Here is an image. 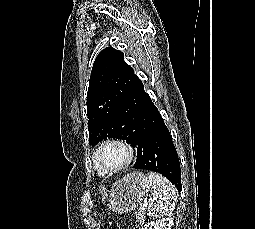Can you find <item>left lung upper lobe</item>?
<instances>
[{
    "mask_svg": "<svg viewBox=\"0 0 255 229\" xmlns=\"http://www.w3.org/2000/svg\"><path fill=\"white\" fill-rule=\"evenodd\" d=\"M133 69L124 62L123 52L112 47L103 49L96 57L87 92L89 142L92 145L110 138L133 139L123 131L118 118L120 107L135 79Z\"/></svg>",
    "mask_w": 255,
    "mask_h": 229,
    "instance_id": "1",
    "label": "left lung upper lobe"
}]
</instances>
